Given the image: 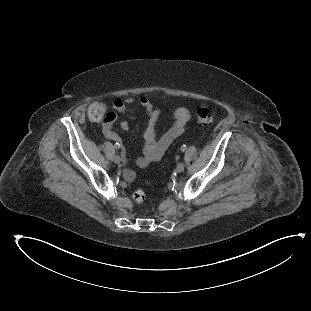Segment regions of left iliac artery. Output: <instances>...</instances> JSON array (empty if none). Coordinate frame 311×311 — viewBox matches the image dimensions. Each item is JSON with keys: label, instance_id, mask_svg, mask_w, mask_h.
Wrapping results in <instances>:
<instances>
[{"label": "left iliac artery", "instance_id": "left-iliac-artery-1", "mask_svg": "<svg viewBox=\"0 0 311 311\" xmlns=\"http://www.w3.org/2000/svg\"><path fill=\"white\" fill-rule=\"evenodd\" d=\"M187 149V147H186V145H183L182 147H181V151H185Z\"/></svg>", "mask_w": 311, "mask_h": 311}]
</instances>
